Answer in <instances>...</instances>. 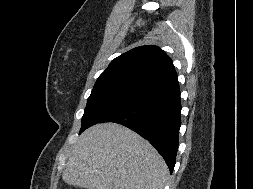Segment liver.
Masks as SVG:
<instances>
[{"instance_id": "1", "label": "liver", "mask_w": 253, "mask_h": 189, "mask_svg": "<svg viewBox=\"0 0 253 189\" xmlns=\"http://www.w3.org/2000/svg\"><path fill=\"white\" fill-rule=\"evenodd\" d=\"M169 170L144 138L116 123L96 124L72 146L62 178L86 189H164Z\"/></svg>"}]
</instances>
